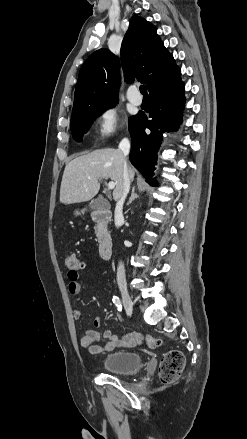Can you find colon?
I'll return each instance as SVG.
<instances>
[{
  "mask_svg": "<svg viewBox=\"0 0 247 439\" xmlns=\"http://www.w3.org/2000/svg\"><path fill=\"white\" fill-rule=\"evenodd\" d=\"M65 264L70 270L79 271L83 268V262L74 254L65 256ZM147 345L156 349L161 346V340L152 336L146 337ZM185 366V357L179 350L167 351L159 365V378L163 384H172L178 380Z\"/></svg>",
  "mask_w": 247,
  "mask_h": 439,
  "instance_id": "colon-1",
  "label": "colon"
}]
</instances>
